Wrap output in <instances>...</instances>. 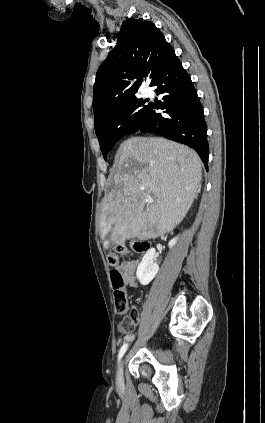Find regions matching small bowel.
Returning <instances> with one entry per match:
<instances>
[{
    "mask_svg": "<svg viewBox=\"0 0 265 423\" xmlns=\"http://www.w3.org/2000/svg\"><path fill=\"white\" fill-rule=\"evenodd\" d=\"M137 267H138V261L130 260V261L122 262L117 268V270L120 272L124 280L125 285L129 288L137 287V277H136ZM131 338H132L131 333H128L125 335L126 340H129Z\"/></svg>",
    "mask_w": 265,
    "mask_h": 423,
    "instance_id": "obj_1",
    "label": "small bowel"
}]
</instances>
